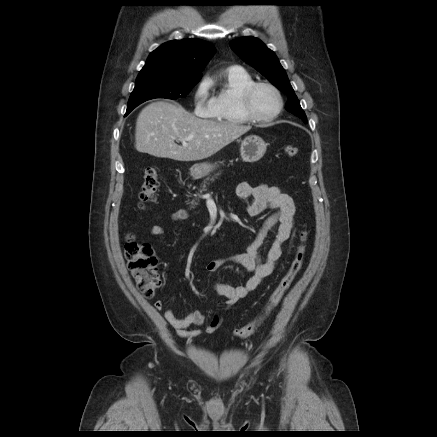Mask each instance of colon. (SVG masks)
<instances>
[{
    "label": "colon",
    "instance_id": "colon-1",
    "mask_svg": "<svg viewBox=\"0 0 437 437\" xmlns=\"http://www.w3.org/2000/svg\"><path fill=\"white\" fill-rule=\"evenodd\" d=\"M298 149L292 145L284 147V154L287 157H295ZM159 186L158 171L155 166L145 168L141 189L139 192V207L144 210L155 201L156 192ZM308 233L302 231L300 244L297 247L294 258L286 274L280 280L278 286L270 294L267 301L258 314L245 326L235 329L233 335L243 339L253 334L267 319L272 310L281 302L282 298L292 285L294 279L303 266L306 241ZM125 258L128 268L134 278L140 292L147 298H151L162 283V274L158 268V262L152 247L141 242L134 234H129L124 245Z\"/></svg>",
    "mask_w": 437,
    "mask_h": 437
}]
</instances>
